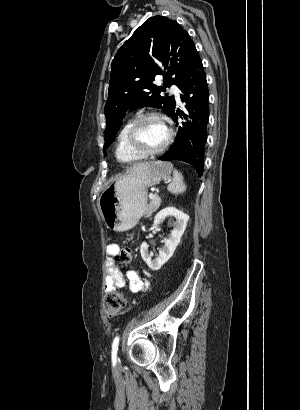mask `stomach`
I'll use <instances>...</instances> for the list:
<instances>
[{
    "instance_id": "1",
    "label": "stomach",
    "mask_w": 300,
    "mask_h": 410,
    "mask_svg": "<svg viewBox=\"0 0 300 410\" xmlns=\"http://www.w3.org/2000/svg\"><path fill=\"white\" fill-rule=\"evenodd\" d=\"M172 165L154 161L132 168L108 186L99 197V209L107 228L123 232L133 228L144 212L147 188L169 178Z\"/></svg>"
}]
</instances>
